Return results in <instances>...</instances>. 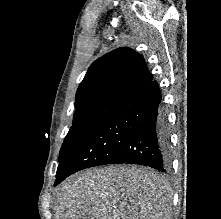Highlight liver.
Masks as SVG:
<instances>
[{"instance_id":"6515ba94","label":"liver","mask_w":221,"mask_h":219,"mask_svg":"<svg viewBox=\"0 0 221 219\" xmlns=\"http://www.w3.org/2000/svg\"><path fill=\"white\" fill-rule=\"evenodd\" d=\"M54 219H170L172 194L153 170L107 166L84 170L56 191Z\"/></svg>"}]
</instances>
